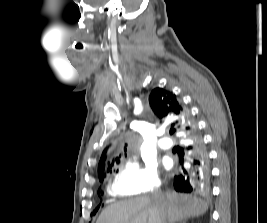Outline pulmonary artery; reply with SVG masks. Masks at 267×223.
Instances as JSON below:
<instances>
[{"mask_svg": "<svg viewBox=\"0 0 267 223\" xmlns=\"http://www.w3.org/2000/svg\"><path fill=\"white\" fill-rule=\"evenodd\" d=\"M158 145L162 149H169L172 147V141L167 137H163L159 139Z\"/></svg>", "mask_w": 267, "mask_h": 223, "instance_id": "e3ab8cb5", "label": "pulmonary artery"}]
</instances>
